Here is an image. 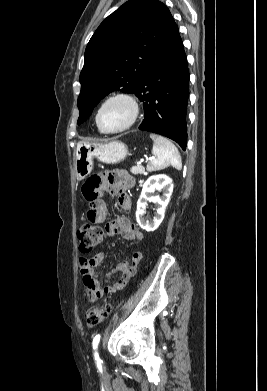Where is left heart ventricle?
<instances>
[{
    "instance_id": "b2bd125f",
    "label": "left heart ventricle",
    "mask_w": 267,
    "mask_h": 391,
    "mask_svg": "<svg viewBox=\"0 0 267 391\" xmlns=\"http://www.w3.org/2000/svg\"><path fill=\"white\" fill-rule=\"evenodd\" d=\"M131 115L130 106L123 100L109 102L101 111L100 123L106 130H115L124 126Z\"/></svg>"
}]
</instances>
